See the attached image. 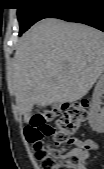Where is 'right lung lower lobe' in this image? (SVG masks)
I'll use <instances>...</instances> for the list:
<instances>
[{
	"mask_svg": "<svg viewBox=\"0 0 104 169\" xmlns=\"http://www.w3.org/2000/svg\"><path fill=\"white\" fill-rule=\"evenodd\" d=\"M83 23L104 31V0H66L46 18Z\"/></svg>",
	"mask_w": 104,
	"mask_h": 169,
	"instance_id": "1",
	"label": "right lung lower lobe"
}]
</instances>
